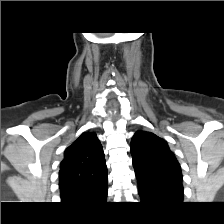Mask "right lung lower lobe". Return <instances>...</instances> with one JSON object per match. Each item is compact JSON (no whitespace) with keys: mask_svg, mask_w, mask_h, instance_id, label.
<instances>
[{"mask_svg":"<svg viewBox=\"0 0 224 224\" xmlns=\"http://www.w3.org/2000/svg\"><path fill=\"white\" fill-rule=\"evenodd\" d=\"M106 196H107V190L103 194L95 198V200L99 202L104 201L106 199Z\"/></svg>","mask_w":224,"mask_h":224,"instance_id":"98d812e1","label":"right lung lower lobe"}]
</instances>
